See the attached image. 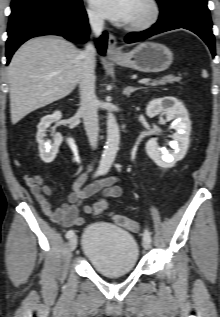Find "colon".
Masks as SVG:
<instances>
[{
	"label": "colon",
	"mask_w": 220,
	"mask_h": 317,
	"mask_svg": "<svg viewBox=\"0 0 220 317\" xmlns=\"http://www.w3.org/2000/svg\"><path fill=\"white\" fill-rule=\"evenodd\" d=\"M103 206H99L97 211L95 212L96 215L100 214L103 211ZM112 219L120 227L126 228L129 231H137L139 229L138 223L126 216L120 215V214H113Z\"/></svg>",
	"instance_id": "1"
}]
</instances>
